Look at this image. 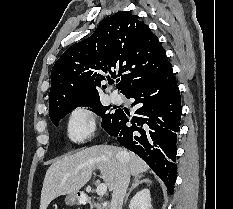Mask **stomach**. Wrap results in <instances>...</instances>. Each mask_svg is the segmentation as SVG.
Listing matches in <instances>:
<instances>
[{
  "mask_svg": "<svg viewBox=\"0 0 233 209\" xmlns=\"http://www.w3.org/2000/svg\"><path fill=\"white\" fill-rule=\"evenodd\" d=\"M79 202H80V198H79L78 192L77 193L68 194L65 197V203L67 205H69V206L79 204Z\"/></svg>",
  "mask_w": 233,
  "mask_h": 209,
  "instance_id": "0dacf381",
  "label": "stomach"
}]
</instances>
